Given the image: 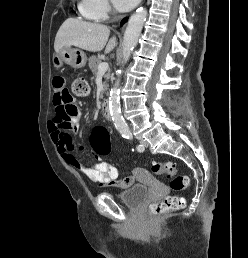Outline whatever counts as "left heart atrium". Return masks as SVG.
Returning <instances> with one entry per match:
<instances>
[{
    "mask_svg": "<svg viewBox=\"0 0 248 258\" xmlns=\"http://www.w3.org/2000/svg\"><path fill=\"white\" fill-rule=\"evenodd\" d=\"M139 1L140 0H113V3L119 11H128Z\"/></svg>",
    "mask_w": 248,
    "mask_h": 258,
    "instance_id": "left-heart-atrium-1",
    "label": "left heart atrium"
}]
</instances>
